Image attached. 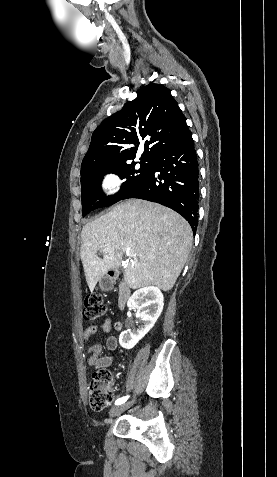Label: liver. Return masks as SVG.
<instances>
[{"label": "liver", "instance_id": "1", "mask_svg": "<svg viewBox=\"0 0 277 477\" xmlns=\"http://www.w3.org/2000/svg\"><path fill=\"white\" fill-rule=\"evenodd\" d=\"M193 242L189 223L157 203L130 199L87 223L81 232L80 258L90 291L109 270L118 268L129 248L136 253L124 271L132 289L173 288ZM103 254L98 257L97 252Z\"/></svg>", "mask_w": 277, "mask_h": 477}]
</instances>
